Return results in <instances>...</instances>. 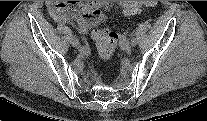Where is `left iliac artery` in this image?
I'll use <instances>...</instances> for the list:
<instances>
[{"label": "left iliac artery", "mask_w": 207, "mask_h": 121, "mask_svg": "<svg viewBox=\"0 0 207 121\" xmlns=\"http://www.w3.org/2000/svg\"><path fill=\"white\" fill-rule=\"evenodd\" d=\"M119 42L122 43V44L125 43L127 45L131 43L133 46H135L137 44V42H136L135 39H132L131 40L130 37H128V36L126 37L124 35H122V36L119 37Z\"/></svg>", "instance_id": "left-iliac-artery-1"}]
</instances>
